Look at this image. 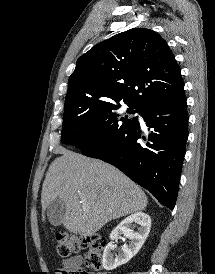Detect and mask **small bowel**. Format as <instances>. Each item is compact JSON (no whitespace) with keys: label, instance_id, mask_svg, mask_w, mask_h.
Returning <instances> with one entry per match:
<instances>
[{"label":"small bowel","instance_id":"1","mask_svg":"<svg viewBox=\"0 0 215 274\" xmlns=\"http://www.w3.org/2000/svg\"><path fill=\"white\" fill-rule=\"evenodd\" d=\"M83 258L80 255L72 256L62 262L61 268L56 269V274H77V272L83 270L82 268ZM99 274H107L101 272Z\"/></svg>","mask_w":215,"mask_h":274}]
</instances>
